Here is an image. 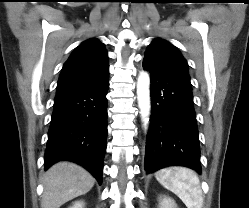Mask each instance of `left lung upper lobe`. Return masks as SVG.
<instances>
[{"mask_svg":"<svg viewBox=\"0 0 249 208\" xmlns=\"http://www.w3.org/2000/svg\"><path fill=\"white\" fill-rule=\"evenodd\" d=\"M144 60L190 79L185 58L175 46L163 39L156 38L152 41L147 48Z\"/></svg>","mask_w":249,"mask_h":208,"instance_id":"5c2ea615","label":"left lung upper lobe"}]
</instances>
